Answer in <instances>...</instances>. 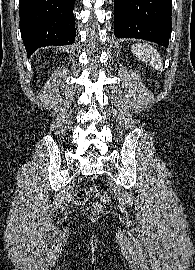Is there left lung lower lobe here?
I'll return each mask as SVG.
<instances>
[{
	"instance_id": "left-lung-lower-lobe-1",
	"label": "left lung lower lobe",
	"mask_w": 195,
	"mask_h": 270,
	"mask_svg": "<svg viewBox=\"0 0 195 270\" xmlns=\"http://www.w3.org/2000/svg\"><path fill=\"white\" fill-rule=\"evenodd\" d=\"M114 34L169 44L172 32L171 0H114Z\"/></svg>"
}]
</instances>
